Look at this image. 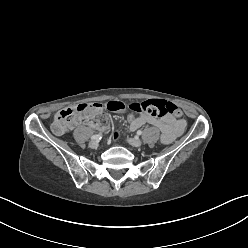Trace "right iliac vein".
Segmentation results:
<instances>
[{"label": "right iliac vein", "instance_id": "obj_1", "mask_svg": "<svg viewBox=\"0 0 248 248\" xmlns=\"http://www.w3.org/2000/svg\"><path fill=\"white\" fill-rule=\"evenodd\" d=\"M98 145H99V143L96 140H92V141L89 142V147L92 148V149L97 148Z\"/></svg>", "mask_w": 248, "mask_h": 248}]
</instances>
